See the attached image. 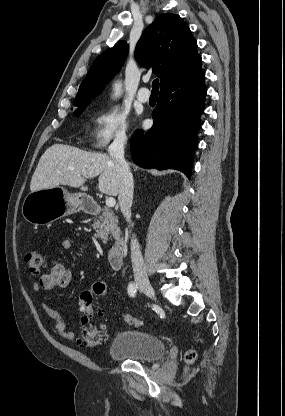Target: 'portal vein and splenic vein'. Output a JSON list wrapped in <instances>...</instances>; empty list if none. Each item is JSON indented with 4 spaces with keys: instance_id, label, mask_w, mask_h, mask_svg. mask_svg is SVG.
Wrapping results in <instances>:
<instances>
[{
    "instance_id": "18ae733b",
    "label": "portal vein and splenic vein",
    "mask_w": 285,
    "mask_h": 416,
    "mask_svg": "<svg viewBox=\"0 0 285 416\" xmlns=\"http://www.w3.org/2000/svg\"><path fill=\"white\" fill-rule=\"evenodd\" d=\"M86 190H88V188H86ZM115 204L114 198H106V206H108V208H114Z\"/></svg>"
}]
</instances>
